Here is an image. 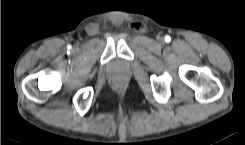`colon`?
I'll return each instance as SVG.
<instances>
[{
	"label": "colon",
	"instance_id": "obj_1",
	"mask_svg": "<svg viewBox=\"0 0 245 145\" xmlns=\"http://www.w3.org/2000/svg\"><path fill=\"white\" fill-rule=\"evenodd\" d=\"M115 87H116V88H120V87H121V83H120V82H116V83H115Z\"/></svg>",
	"mask_w": 245,
	"mask_h": 145
}]
</instances>
